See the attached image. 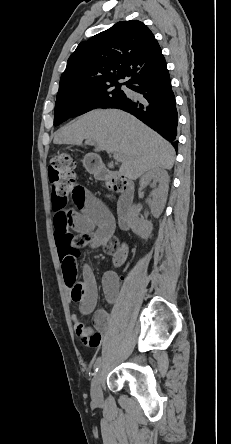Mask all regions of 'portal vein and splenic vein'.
Here are the masks:
<instances>
[{
  "instance_id": "obj_1",
  "label": "portal vein and splenic vein",
  "mask_w": 231,
  "mask_h": 444,
  "mask_svg": "<svg viewBox=\"0 0 231 444\" xmlns=\"http://www.w3.org/2000/svg\"><path fill=\"white\" fill-rule=\"evenodd\" d=\"M86 143L94 144L95 142L92 141V140H87ZM114 159H115L116 161H122V156H121L120 154H118V153H115V154H114Z\"/></svg>"
}]
</instances>
